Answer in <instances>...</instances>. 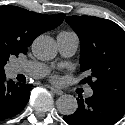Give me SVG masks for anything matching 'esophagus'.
<instances>
[{"label":"esophagus","instance_id":"obj_1","mask_svg":"<svg viewBox=\"0 0 125 125\" xmlns=\"http://www.w3.org/2000/svg\"><path fill=\"white\" fill-rule=\"evenodd\" d=\"M48 88L55 94L57 95H62L64 92L58 88H55L53 86H48Z\"/></svg>","mask_w":125,"mask_h":125}]
</instances>
